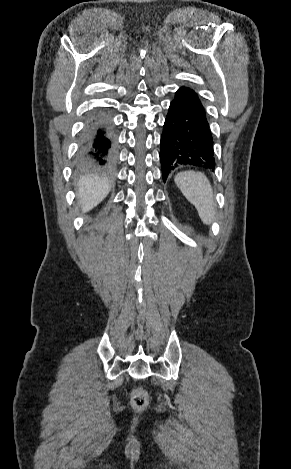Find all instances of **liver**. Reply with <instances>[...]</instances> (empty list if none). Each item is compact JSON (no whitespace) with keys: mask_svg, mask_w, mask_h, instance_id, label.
Returning <instances> with one entry per match:
<instances>
[{"mask_svg":"<svg viewBox=\"0 0 291 469\" xmlns=\"http://www.w3.org/2000/svg\"><path fill=\"white\" fill-rule=\"evenodd\" d=\"M110 191V184L108 180L99 177L87 176L79 180L77 186V196L79 205L83 212L96 207Z\"/></svg>","mask_w":291,"mask_h":469,"instance_id":"1","label":"liver"}]
</instances>
